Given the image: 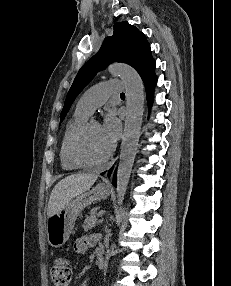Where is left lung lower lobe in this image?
Masks as SVG:
<instances>
[{
  "label": "left lung lower lobe",
  "instance_id": "1",
  "mask_svg": "<svg viewBox=\"0 0 231 286\" xmlns=\"http://www.w3.org/2000/svg\"><path fill=\"white\" fill-rule=\"evenodd\" d=\"M154 69H155V61L152 60L149 63H147L138 73L140 74L144 85L146 89V95H147V101L148 105L151 106L152 104V99H153V91L154 87L156 85L157 79L154 74ZM112 172V169L109 170L108 175H110ZM104 173H102L103 175ZM113 184L116 186V173H114V178H113Z\"/></svg>",
  "mask_w": 231,
  "mask_h": 286
}]
</instances>
